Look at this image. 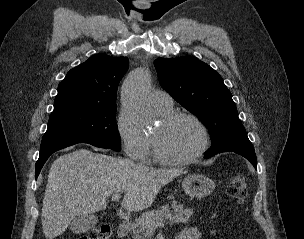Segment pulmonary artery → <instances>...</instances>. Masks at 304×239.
I'll return each mask as SVG.
<instances>
[{
	"label": "pulmonary artery",
	"instance_id": "pulmonary-artery-1",
	"mask_svg": "<svg viewBox=\"0 0 304 239\" xmlns=\"http://www.w3.org/2000/svg\"><path fill=\"white\" fill-rule=\"evenodd\" d=\"M150 102L154 107L170 108L173 106L172 97L164 91H153L150 94Z\"/></svg>",
	"mask_w": 304,
	"mask_h": 239
}]
</instances>
